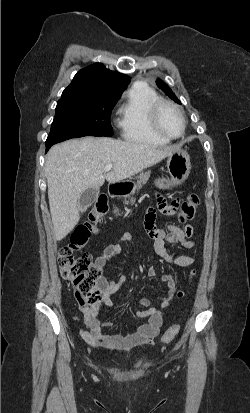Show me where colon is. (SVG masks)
Segmentation results:
<instances>
[{"label":"colon","instance_id":"colon-1","mask_svg":"<svg viewBox=\"0 0 250 413\" xmlns=\"http://www.w3.org/2000/svg\"><path fill=\"white\" fill-rule=\"evenodd\" d=\"M199 204L196 194H189L186 200L176 206L178 209V220L182 223L191 220ZM108 205L105 197L101 196L93 204L89 219L84 224L79 225L68 245L61 248L59 252V270L61 276L72 283L74 295L80 306L95 307L102 301L98 279L101 270L93 263L89 254H83L76 258L74 253L83 248L90 237L96 231L97 222L107 213ZM180 325H171L161 338L163 344L170 343L179 333Z\"/></svg>","mask_w":250,"mask_h":413}]
</instances>
